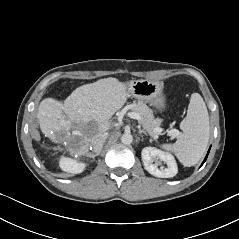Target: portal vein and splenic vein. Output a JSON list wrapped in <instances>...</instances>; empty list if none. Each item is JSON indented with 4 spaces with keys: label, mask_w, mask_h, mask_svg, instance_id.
I'll list each match as a JSON object with an SVG mask.
<instances>
[{
    "label": "portal vein and splenic vein",
    "mask_w": 239,
    "mask_h": 239,
    "mask_svg": "<svg viewBox=\"0 0 239 239\" xmlns=\"http://www.w3.org/2000/svg\"><path fill=\"white\" fill-rule=\"evenodd\" d=\"M128 116L133 118V119H136L138 121L141 120V116L138 113H136V112H130V113H128ZM161 131H162V129L159 128V127L154 130V132L156 134L160 133ZM167 133H168V135H172L174 137H176V136H178L180 134L179 130H177V129H172V130L168 131Z\"/></svg>",
    "instance_id": "portal-vein-and-splenic-vein-1"
}]
</instances>
